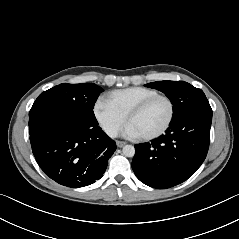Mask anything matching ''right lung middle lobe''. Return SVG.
Returning a JSON list of instances; mask_svg holds the SVG:
<instances>
[{"instance_id":"obj_1","label":"right lung middle lobe","mask_w":239,"mask_h":239,"mask_svg":"<svg viewBox=\"0 0 239 239\" xmlns=\"http://www.w3.org/2000/svg\"><path fill=\"white\" fill-rule=\"evenodd\" d=\"M103 89L94 83L60 84L41 93L29 112V134L45 126L97 125L93 108Z\"/></svg>"}]
</instances>
